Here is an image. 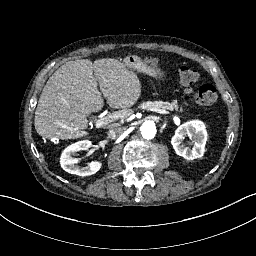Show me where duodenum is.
<instances>
[{
  "label": "duodenum",
  "instance_id": "duodenum-1",
  "mask_svg": "<svg viewBox=\"0 0 256 256\" xmlns=\"http://www.w3.org/2000/svg\"><path fill=\"white\" fill-rule=\"evenodd\" d=\"M124 64L127 68L133 71L138 70L140 72H143L147 76L152 75L155 71V67L152 63L144 59H140L136 55H131L127 57L124 61Z\"/></svg>",
  "mask_w": 256,
  "mask_h": 256
}]
</instances>
